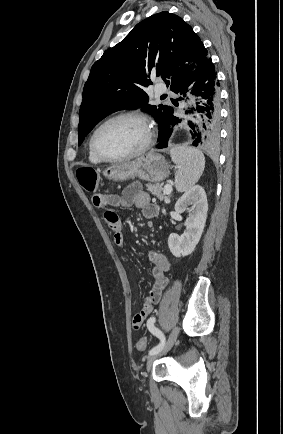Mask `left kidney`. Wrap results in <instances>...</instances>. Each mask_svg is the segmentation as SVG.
<instances>
[{"label":"left kidney","instance_id":"1","mask_svg":"<svg viewBox=\"0 0 283 434\" xmlns=\"http://www.w3.org/2000/svg\"><path fill=\"white\" fill-rule=\"evenodd\" d=\"M189 206L191 207L189 208ZM175 210L178 213L185 211L189 213L185 221V232L181 236L172 233L168 238V247L171 253L179 258L187 256L195 250L203 233L208 211L204 188L196 185L185 192L176 202Z\"/></svg>","mask_w":283,"mask_h":434}]
</instances>
